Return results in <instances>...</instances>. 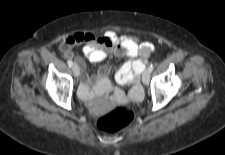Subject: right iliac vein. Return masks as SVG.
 <instances>
[{"label":"right iliac vein","instance_id":"right-iliac-vein-1","mask_svg":"<svg viewBox=\"0 0 225 155\" xmlns=\"http://www.w3.org/2000/svg\"><path fill=\"white\" fill-rule=\"evenodd\" d=\"M72 70H73L74 76L75 77H79V75H80V69H79V67L77 65H73L72 66Z\"/></svg>","mask_w":225,"mask_h":155}]
</instances>
